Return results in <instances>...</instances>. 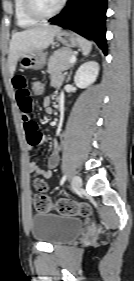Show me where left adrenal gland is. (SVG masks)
I'll return each instance as SVG.
<instances>
[{"label": "left adrenal gland", "instance_id": "1", "mask_svg": "<svg viewBox=\"0 0 134 281\" xmlns=\"http://www.w3.org/2000/svg\"><path fill=\"white\" fill-rule=\"evenodd\" d=\"M74 66V65H73ZM72 66V67H73ZM71 74H72V69H71V71H70V73H69V75H68V79H67V82L70 80V78H71Z\"/></svg>", "mask_w": 134, "mask_h": 281}]
</instances>
